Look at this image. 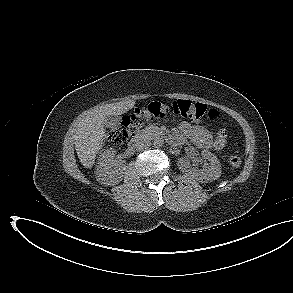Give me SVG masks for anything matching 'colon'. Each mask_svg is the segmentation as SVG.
Wrapping results in <instances>:
<instances>
[{"instance_id":"colon-1","label":"colon","mask_w":293,"mask_h":293,"mask_svg":"<svg viewBox=\"0 0 293 293\" xmlns=\"http://www.w3.org/2000/svg\"><path fill=\"white\" fill-rule=\"evenodd\" d=\"M169 116H180L192 120H199L204 116L216 119L219 113L214 109L208 110L202 103L186 99H179L171 104L155 101L146 108L136 109L132 115L124 117L119 126L111 131L110 139L116 144H122L136 135L142 122ZM227 136L228 134L225 129H220L217 132L214 142L216 149H221L225 146ZM229 163L233 167H239L241 158L233 155L229 158Z\"/></svg>"}]
</instances>
